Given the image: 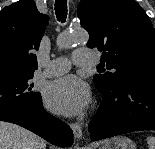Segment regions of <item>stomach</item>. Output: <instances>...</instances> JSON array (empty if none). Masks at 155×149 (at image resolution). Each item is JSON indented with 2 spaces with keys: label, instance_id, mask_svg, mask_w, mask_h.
Returning <instances> with one entry per match:
<instances>
[{
  "label": "stomach",
  "instance_id": "1",
  "mask_svg": "<svg viewBox=\"0 0 155 149\" xmlns=\"http://www.w3.org/2000/svg\"><path fill=\"white\" fill-rule=\"evenodd\" d=\"M100 149H136V145L128 137L117 136L105 140Z\"/></svg>",
  "mask_w": 155,
  "mask_h": 149
}]
</instances>
